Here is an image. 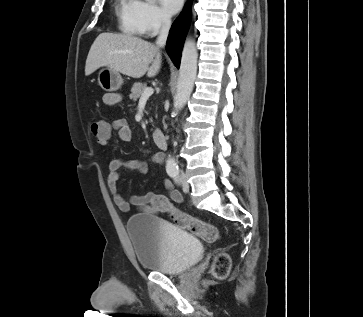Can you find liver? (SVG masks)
<instances>
[{
  "label": "liver",
  "mask_w": 363,
  "mask_h": 317,
  "mask_svg": "<svg viewBox=\"0 0 363 317\" xmlns=\"http://www.w3.org/2000/svg\"><path fill=\"white\" fill-rule=\"evenodd\" d=\"M161 63L159 47L153 43L131 35L101 33L88 53L85 75L105 66L133 78L146 73L153 77L159 72Z\"/></svg>",
  "instance_id": "obj_1"
}]
</instances>
